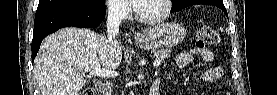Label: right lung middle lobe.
Listing matches in <instances>:
<instances>
[{
	"label": "right lung middle lobe",
	"mask_w": 277,
	"mask_h": 95,
	"mask_svg": "<svg viewBox=\"0 0 277 95\" xmlns=\"http://www.w3.org/2000/svg\"><path fill=\"white\" fill-rule=\"evenodd\" d=\"M105 4V0H39L37 11L54 8H94Z\"/></svg>",
	"instance_id": "right-lung-middle-lobe-1"
}]
</instances>
